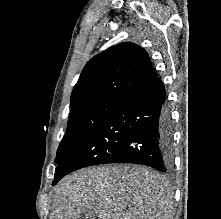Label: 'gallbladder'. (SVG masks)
<instances>
[{
  "instance_id": "bac80fb5",
  "label": "gallbladder",
  "mask_w": 221,
  "mask_h": 219,
  "mask_svg": "<svg viewBox=\"0 0 221 219\" xmlns=\"http://www.w3.org/2000/svg\"><path fill=\"white\" fill-rule=\"evenodd\" d=\"M80 219H97V215L93 210L85 211L81 215Z\"/></svg>"
}]
</instances>
